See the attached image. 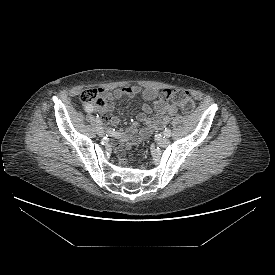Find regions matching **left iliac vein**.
Listing matches in <instances>:
<instances>
[{
  "instance_id": "obj_1",
  "label": "left iliac vein",
  "mask_w": 275,
  "mask_h": 275,
  "mask_svg": "<svg viewBox=\"0 0 275 275\" xmlns=\"http://www.w3.org/2000/svg\"><path fill=\"white\" fill-rule=\"evenodd\" d=\"M169 143H170L169 139H167L165 137L158 139V145L161 147H166L169 145Z\"/></svg>"
}]
</instances>
